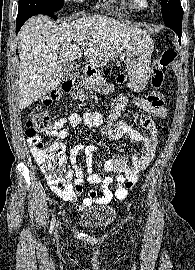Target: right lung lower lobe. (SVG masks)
Wrapping results in <instances>:
<instances>
[{"label":"right lung lower lobe","mask_w":195,"mask_h":270,"mask_svg":"<svg viewBox=\"0 0 195 270\" xmlns=\"http://www.w3.org/2000/svg\"><path fill=\"white\" fill-rule=\"evenodd\" d=\"M38 13L32 10H18V16L16 19V33L20 30L24 22L30 17L37 15Z\"/></svg>","instance_id":"right-lung-lower-lobe-1"}]
</instances>
